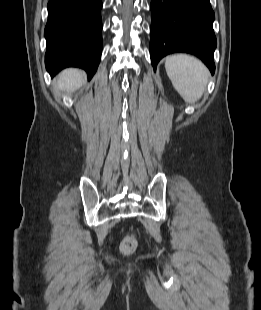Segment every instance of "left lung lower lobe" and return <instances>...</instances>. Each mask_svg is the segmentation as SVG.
<instances>
[{
  "label": "left lung lower lobe",
  "mask_w": 261,
  "mask_h": 310,
  "mask_svg": "<svg viewBox=\"0 0 261 310\" xmlns=\"http://www.w3.org/2000/svg\"><path fill=\"white\" fill-rule=\"evenodd\" d=\"M151 12L150 56L154 70L167 54L188 52L214 73L216 37L209 0H152Z\"/></svg>",
  "instance_id": "left-lung-lower-lobe-1"
}]
</instances>
